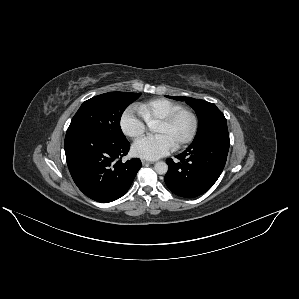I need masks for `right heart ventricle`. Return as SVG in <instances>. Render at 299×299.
Segmentation results:
<instances>
[{"label": "right heart ventricle", "instance_id": "right-heart-ventricle-1", "mask_svg": "<svg viewBox=\"0 0 299 299\" xmlns=\"http://www.w3.org/2000/svg\"><path fill=\"white\" fill-rule=\"evenodd\" d=\"M182 107L181 103L166 98H154L141 103L139 111L149 125H155L161 119Z\"/></svg>", "mask_w": 299, "mask_h": 299}]
</instances>
